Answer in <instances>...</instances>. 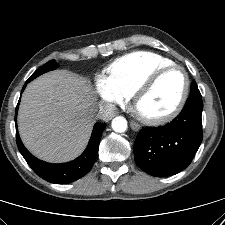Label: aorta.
Here are the masks:
<instances>
[{"instance_id":"obj_1","label":"aorta","mask_w":225,"mask_h":225,"mask_svg":"<svg viewBox=\"0 0 225 225\" xmlns=\"http://www.w3.org/2000/svg\"><path fill=\"white\" fill-rule=\"evenodd\" d=\"M112 129L117 133H124L127 130V120L122 116H117L112 120Z\"/></svg>"}]
</instances>
